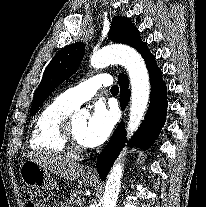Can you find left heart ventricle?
<instances>
[{"label":"left heart ventricle","mask_w":206,"mask_h":207,"mask_svg":"<svg viewBox=\"0 0 206 207\" xmlns=\"http://www.w3.org/2000/svg\"><path fill=\"white\" fill-rule=\"evenodd\" d=\"M86 125H87V120L85 118H75L72 121V129H73L74 136L76 140L83 145H85L83 140V134Z\"/></svg>","instance_id":"left-heart-ventricle-1"}]
</instances>
